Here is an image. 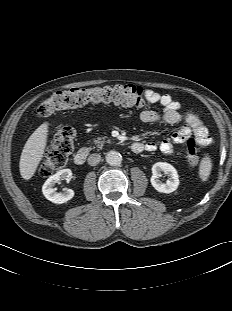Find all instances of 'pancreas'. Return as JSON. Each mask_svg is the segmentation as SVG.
I'll return each instance as SVG.
<instances>
[{"instance_id":"cf45deb5","label":"pancreas","mask_w":232,"mask_h":311,"mask_svg":"<svg viewBox=\"0 0 232 311\" xmlns=\"http://www.w3.org/2000/svg\"><path fill=\"white\" fill-rule=\"evenodd\" d=\"M102 139H104V138H98L97 140H94L93 142L97 145V147L99 148V149H102V147H103V144H104V140H102Z\"/></svg>"}]
</instances>
